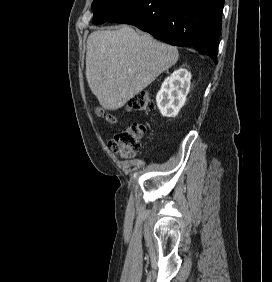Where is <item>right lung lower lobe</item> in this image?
Wrapping results in <instances>:
<instances>
[{
  "label": "right lung lower lobe",
  "instance_id": "1",
  "mask_svg": "<svg viewBox=\"0 0 272 282\" xmlns=\"http://www.w3.org/2000/svg\"><path fill=\"white\" fill-rule=\"evenodd\" d=\"M224 0H136L108 22L131 24L175 46H192L217 63Z\"/></svg>",
  "mask_w": 272,
  "mask_h": 282
}]
</instances>
